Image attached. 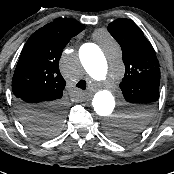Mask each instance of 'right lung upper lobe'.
<instances>
[{
  "mask_svg": "<svg viewBox=\"0 0 174 174\" xmlns=\"http://www.w3.org/2000/svg\"><path fill=\"white\" fill-rule=\"evenodd\" d=\"M85 26L74 19L57 18L37 30L26 42L17 63L12 91L16 99L56 102L62 97L65 80L59 71V59L69 40ZM48 110L23 114L26 123L48 120Z\"/></svg>",
  "mask_w": 174,
  "mask_h": 174,
  "instance_id": "right-lung-upper-lobe-1",
  "label": "right lung upper lobe"
}]
</instances>
